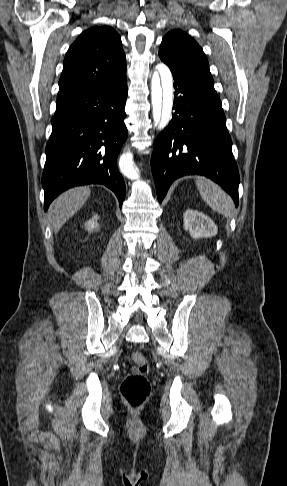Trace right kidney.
<instances>
[{
    "label": "right kidney",
    "mask_w": 287,
    "mask_h": 486,
    "mask_svg": "<svg viewBox=\"0 0 287 486\" xmlns=\"http://www.w3.org/2000/svg\"><path fill=\"white\" fill-rule=\"evenodd\" d=\"M99 219V216L95 214L90 220H88L85 223V229L89 232L94 231L97 227V220Z\"/></svg>",
    "instance_id": "right-kidney-1"
}]
</instances>
